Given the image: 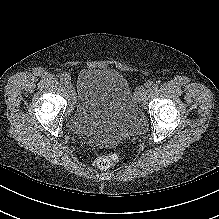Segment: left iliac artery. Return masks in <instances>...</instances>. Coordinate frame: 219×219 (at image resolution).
I'll list each match as a JSON object with an SVG mask.
<instances>
[{"mask_svg":"<svg viewBox=\"0 0 219 219\" xmlns=\"http://www.w3.org/2000/svg\"><path fill=\"white\" fill-rule=\"evenodd\" d=\"M146 87H151V90H157L158 89V84L155 83V84H149V83H146L145 84Z\"/></svg>","mask_w":219,"mask_h":219,"instance_id":"44dca946","label":"left iliac artery"}]
</instances>
